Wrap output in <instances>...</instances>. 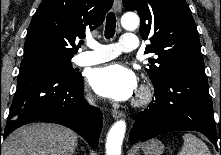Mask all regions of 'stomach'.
Segmentation results:
<instances>
[{"label": "stomach", "instance_id": "stomach-1", "mask_svg": "<svg viewBox=\"0 0 221 155\" xmlns=\"http://www.w3.org/2000/svg\"><path fill=\"white\" fill-rule=\"evenodd\" d=\"M145 155H162L164 151V145L157 139L150 140L143 146Z\"/></svg>", "mask_w": 221, "mask_h": 155}]
</instances>
